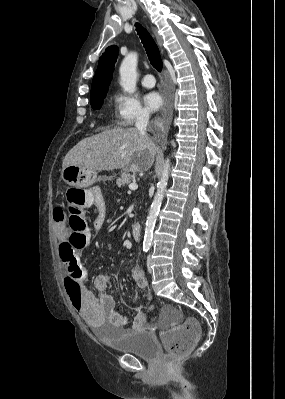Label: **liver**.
Segmentation results:
<instances>
[{
	"label": "liver",
	"instance_id": "liver-1",
	"mask_svg": "<svg viewBox=\"0 0 285 399\" xmlns=\"http://www.w3.org/2000/svg\"><path fill=\"white\" fill-rule=\"evenodd\" d=\"M156 155V146L137 128H113L85 138L65 156L62 166L77 165L96 174L129 168L148 170Z\"/></svg>",
	"mask_w": 285,
	"mask_h": 399
}]
</instances>
